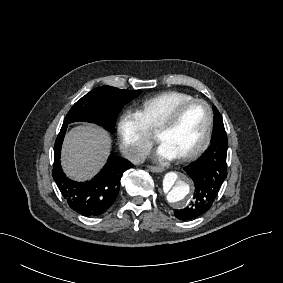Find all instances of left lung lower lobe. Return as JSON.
Returning a JSON list of instances; mask_svg holds the SVG:
<instances>
[{"instance_id":"obj_1","label":"left lung lower lobe","mask_w":283,"mask_h":283,"mask_svg":"<svg viewBox=\"0 0 283 283\" xmlns=\"http://www.w3.org/2000/svg\"><path fill=\"white\" fill-rule=\"evenodd\" d=\"M227 136L222 118L214 117L210 147L184 170L193 180L195 191L190 205L175 210L180 220H191L206 213L213 205L222 183L227 177Z\"/></svg>"}]
</instances>
